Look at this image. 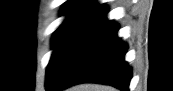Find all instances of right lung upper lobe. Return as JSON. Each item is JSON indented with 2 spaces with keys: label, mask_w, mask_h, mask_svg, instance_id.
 I'll list each match as a JSON object with an SVG mask.
<instances>
[{
  "label": "right lung upper lobe",
  "mask_w": 173,
  "mask_h": 91,
  "mask_svg": "<svg viewBox=\"0 0 173 91\" xmlns=\"http://www.w3.org/2000/svg\"><path fill=\"white\" fill-rule=\"evenodd\" d=\"M107 11L102 4L91 0H68L62 8V14L67 15L64 23L86 24L93 18Z\"/></svg>",
  "instance_id": "1"
}]
</instances>
